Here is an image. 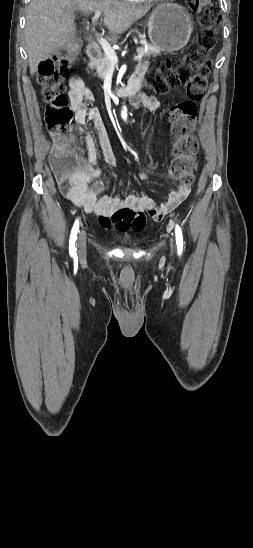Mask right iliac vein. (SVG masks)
I'll return each instance as SVG.
<instances>
[{
  "instance_id": "63e3f726",
  "label": "right iliac vein",
  "mask_w": 253,
  "mask_h": 548,
  "mask_svg": "<svg viewBox=\"0 0 253 548\" xmlns=\"http://www.w3.org/2000/svg\"><path fill=\"white\" fill-rule=\"evenodd\" d=\"M78 255L80 258L86 256V233L84 230H81L77 240Z\"/></svg>"
}]
</instances>
